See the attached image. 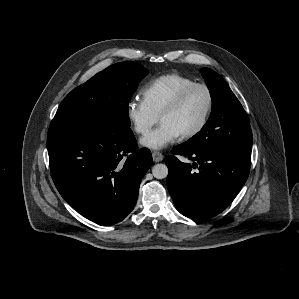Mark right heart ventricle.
<instances>
[{
    "mask_svg": "<svg viewBox=\"0 0 299 299\" xmlns=\"http://www.w3.org/2000/svg\"><path fill=\"white\" fill-rule=\"evenodd\" d=\"M195 83L187 76L165 74L150 81L141 91L142 100L159 117L163 108L186 86Z\"/></svg>",
    "mask_w": 299,
    "mask_h": 299,
    "instance_id": "e07e8e85",
    "label": "right heart ventricle"
}]
</instances>
